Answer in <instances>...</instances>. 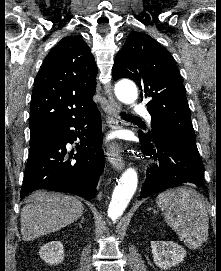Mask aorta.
Returning <instances> with one entry per match:
<instances>
[{"label": "aorta", "mask_w": 221, "mask_h": 271, "mask_svg": "<svg viewBox=\"0 0 221 271\" xmlns=\"http://www.w3.org/2000/svg\"><path fill=\"white\" fill-rule=\"evenodd\" d=\"M117 98L125 104H133L138 97L136 85L129 80H123L115 85ZM138 184V175L135 169L128 168L118 180L111 202L108 207V216L112 220L118 219L128 206Z\"/></svg>", "instance_id": "obj_1"}]
</instances>
